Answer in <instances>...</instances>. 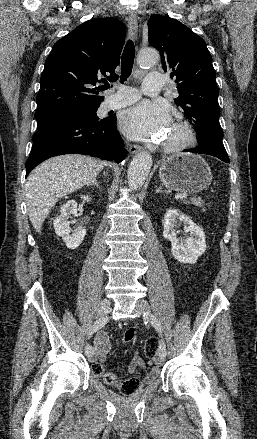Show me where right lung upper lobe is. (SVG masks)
I'll list each match as a JSON object with an SVG mask.
<instances>
[{"label":"right lung upper lobe","instance_id":"right-lung-upper-lobe-1","mask_svg":"<svg viewBox=\"0 0 257 439\" xmlns=\"http://www.w3.org/2000/svg\"><path fill=\"white\" fill-rule=\"evenodd\" d=\"M125 35L120 20L91 19L58 40L40 79L36 119L99 107L104 97L94 86L117 76Z\"/></svg>","mask_w":257,"mask_h":439}]
</instances>
